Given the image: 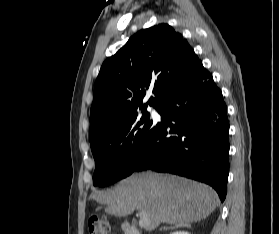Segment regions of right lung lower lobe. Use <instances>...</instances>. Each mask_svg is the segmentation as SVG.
I'll return each instance as SVG.
<instances>
[{"label":"right lung lower lobe","instance_id":"1","mask_svg":"<svg viewBox=\"0 0 279 234\" xmlns=\"http://www.w3.org/2000/svg\"><path fill=\"white\" fill-rule=\"evenodd\" d=\"M157 111L162 122L134 171L152 169L205 182L223 202L229 173L227 107L202 62Z\"/></svg>","mask_w":279,"mask_h":234}]
</instances>
